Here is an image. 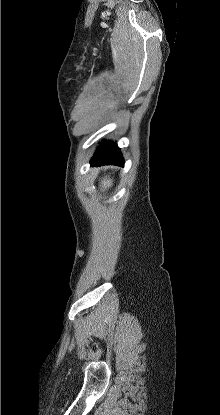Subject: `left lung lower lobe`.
Listing matches in <instances>:
<instances>
[{
	"instance_id": "left-lung-lower-lobe-1",
	"label": "left lung lower lobe",
	"mask_w": 220,
	"mask_h": 415,
	"mask_svg": "<svg viewBox=\"0 0 220 415\" xmlns=\"http://www.w3.org/2000/svg\"><path fill=\"white\" fill-rule=\"evenodd\" d=\"M90 163L95 166L108 164L124 166L120 149L116 143L111 141H105L100 144V147L91 158Z\"/></svg>"
}]
</instances>
